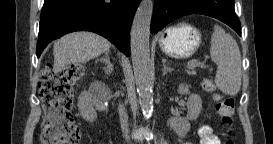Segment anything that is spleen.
Wrapping results in <instances>:
<instances>
[{"instance_id": "spleen-1", "label": "spleen", "mask_w": 273, "mask_h": 144, "mask_svg": "<svg viewBox=\"0 0 273 144\" xmlns=\"http://www.w3.org/2000/svg\"><path fill=\"white\" fill-rule=\"evenodd\" d=\"M210 55L217 64L216 86L227 95H236L241 87V54L235 39L219 25L211 36Z\"/></svg>"}]
</instances>
